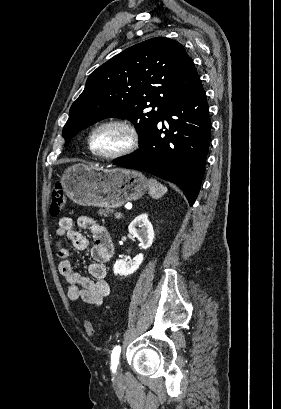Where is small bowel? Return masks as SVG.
<instances>
[{
	"instance_id": "c3829d8e",
	"label": "small bowel",
	"mask_w": 281,
	"mask_h": 409,
	"mask_svg": "<svg viewBox=\"0 0 281 409\" xmlns=\"http://www.w3.org/2000/svg\"><path fill=\"white\" fill-rule=\"evenodd\" d=\"M79 229H87L93 236L92 262L88 266L90 276L75 271L70 261L71 251L64 246V242L68 241L77 250L87 249L88 240ZM56 236L57 253L60 258L58 268L68 283L69 298L89 305H101L112 292V285L107 280V263L113 255L114 246L108 230L89 216L79 217L77 225L70 217H62L58 221Z\"/></svg>"
}]
</instances>
